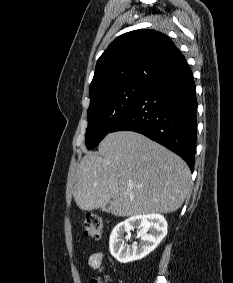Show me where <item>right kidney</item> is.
<instances>
[{
  "label": "right kidney",
  "instance_id": "1",
  "mask_svg": "<svg viewBox=\"0 0 233 283\" xmlns=\"http://www.w3.org/2000/svg\"><path fill=\"white\" fill-rule=\"evenodd\" d=\"M167 221L160 214H146L131 216L119 223L110 235L109 249L111 255L120 263L140 260L152 252L167 235ZM137 229L141 243L133 242L127 246L124 233Z\"/></svg>",
  "mask_w": 233,
  "mask_h": 283
}]
</instances>
